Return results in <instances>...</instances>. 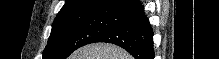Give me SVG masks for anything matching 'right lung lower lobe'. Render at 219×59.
<instances>
[{
  "label": "right lung lower lobe",
  "mask_w": 219,
  "mask_h": 59,
  "mask_svg": "<svg viewBox=\"0 0 219 59\" xmlns=\"http://www.w3.org/2000/svg\"><path fill=\"white\" fill-rule=\"evenodd\" d=\"M125 19L101 34L95 42L116 44L135 59H154L153 30L137 0H126L114 7Z\"/></svg>",
  "instance_id": "98d812e1"
}]
</instances>
